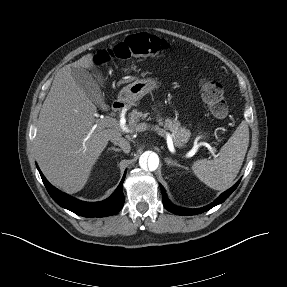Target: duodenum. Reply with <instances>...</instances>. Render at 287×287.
I'll list each match as a JSON object with an SVG mask.
<instances>
[{
	"label": "duodenum",
	"mask_w": 287,
	"mask_h": 287,
	"mask_svg": "<svg viewBox=\"0 0 287 287\" xmlns=\"http://www.w3.org/2000/svg\"><path fill=\"white\" fill-rule=\"evenodd\" d=\"M124 107V103L121 100H116L113 102L112 108L114 111L118 112L120 110H122Z\"/></svg>",
	"instance_id": "1"
}]
</instances>
